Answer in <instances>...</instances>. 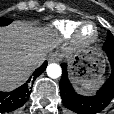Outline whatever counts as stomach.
I'll list each match as a JSON object with an SVG mask.
<instances>
[{
    "mask_svg": "<svg viewBox=\"0 0 114 114\" xmlns=\"http://www.w3.org/2000/svg\"><path fill=\"white\" fill-rule=\"evenodd\" d=\"M70 77L75 84L102 78L106 60L97 50H79L67 59Z\"/></svg>",
    "mask_w": 114,
    "mask_h": 114,
    "instance_id": "stomach-1",
    "label": "stomach"
}]
</instances>
